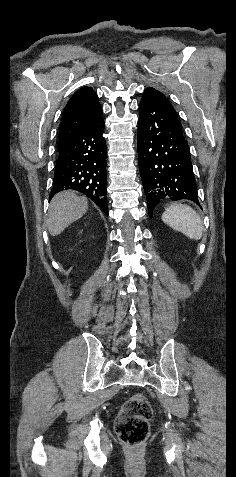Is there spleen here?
Returning <instances> with one entry per match:
<instances>
[{"mask_svg":"<svg viewBox=\"0 0 236 477\" xmlns=\"http://www.w3.org/2000/svg\"><path fill=\"white\" fill-rule=\"evenodd\" d=\"M162 220L191 239L199 240L202 237V220L197 212L187 205H172L163 213Z\"/></svg>","mask_w":236,"mask_h":477,"instance_id":"1","label":"spleen"}]
</instances>
